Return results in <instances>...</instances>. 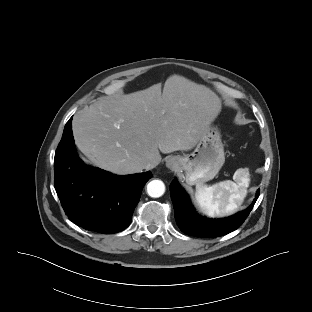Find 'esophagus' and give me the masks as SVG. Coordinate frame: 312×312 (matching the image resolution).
<instances>
[{
    "label": "esophagus",
    "mask_w": 312,
    "mask_h": 312,
    "mask_svg": "<svg viewBox=\"0 0 312 312\" xmlns=\"http://www.w3.org/2000/svg\"><path fill=\"white\" fill-rule=\"evenodd\" d=\"M166 167L171 171H174L177 167V159L175 157H169L166 160Z\"/></svg>",
    "instance_id": "34e87169"
}]
</instances>
